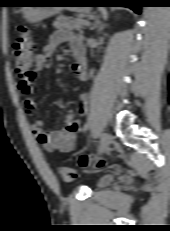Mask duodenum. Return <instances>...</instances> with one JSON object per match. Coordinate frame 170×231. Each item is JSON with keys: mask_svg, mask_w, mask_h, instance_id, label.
Masks as SVG:
<instances>
[{"mask_svg": "<svg viewBox=\"0 0 170 231\" xmlns=\"http://www.w3.org/2000/svg\"><path fill=\"white\" fill-rule=\"evenodd\" d=\"M74 53H75L78 63L82 64L84 61V55H83L82 50H75Z\"/></svg>", "mask_w": 170, "mask_h": 231, "instance_id": "obj_1", "label": "duodenum"}]
</instances>
